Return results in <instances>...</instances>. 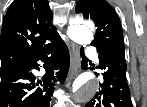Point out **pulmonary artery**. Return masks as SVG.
<instances>
[{"instance_id": "pulmonary-artery-1", "label": "pulmonary artery", "mask_w": 147, "mask_h": 107, "mask_svg": "<svg viewBox=\"0 0 147 107\" xmlns=\"http://www.w3.org/2000/svg\"><path fill=\"white\" fill-rule=\"evenodd\" d=\"M88 54H89L90 56H92V57H93V56H94V51H93V50H91V49H89V50H88Z\"/></svg>"}]
</instances>
